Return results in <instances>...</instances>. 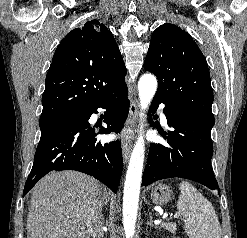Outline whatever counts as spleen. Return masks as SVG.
Listing matches in <instances>:
<instances>
[{
  "mask_svg": "<svg viewBox=\"0 0 247 238\" xmlns=\"http://www.w3.org/2000/svg\"><path fill=\"white\" fill-rule=\"evenodd\" d=\"M179 188L177 209L185 218L189 238H221L220 223L210 201L187 181H182Z\"/></svg>",
  "mask_w": 247,
  "mask_h": 238,
  "instance_id": "1",
  "label": "spleen"
}]
</instances>
